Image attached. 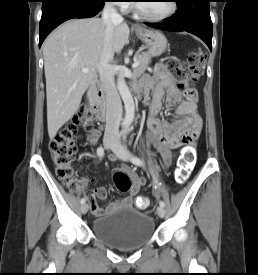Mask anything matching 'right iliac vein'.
Here are the masks:
<instances>
[{"instance_id":"right-iliac-vein-1","label":"right iliac vein","mask_w":258,"mask_h":275,"mask_svg":"<svg viewBox=\"0 0 258 275\" xmlns=\"http://www.w3.org/2000/svg\"><path fill=\"white\" fill-rule=\"evenodd\" d=\"M113 143H114V140L111 139V138H106L104 140V142H103L104 147L106 149H110L112 147ZM88 209H89V205L88 204H82V206H81V212L83 214L87 213Z\"/></svg>"}]
</instances>
